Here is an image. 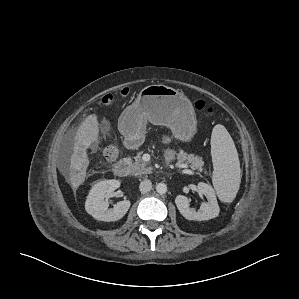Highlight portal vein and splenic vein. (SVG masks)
<instances>
[{"label": "portal vein and splenic vein", "mask_w": 299, "mask_h": 299, "mask_svg": "<svg viewBox=\"0 0 299 299\" xmlns=\"http://www.w3.org/2000/svg\"><path fill=\"white\" fill-rule=\"evenodd\" d=\"M177 167H179V168H187V164H179V165H177Z\"/></svg>", "instance_id": "obj_1"}]
</instances>
